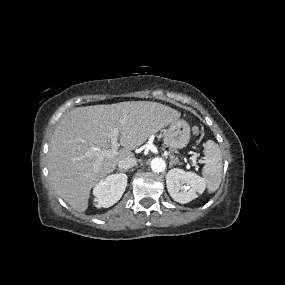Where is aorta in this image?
<instances>
[{
    "mask_svg": "<svg viewBox=\"0 0 285 285\" xmlns=\"http://www.w3.org/2000/svg\"><path fill=\"white\" fill-rule=\"evenodd\" d=\"M150 165L152 171L156 173L163 172L166 167L165 161L160 157L153 158Z\"/></svg>",
    "mask_w": 285,
    "mask_h": 285,
    "instance_id": "1",
    "label": "aorta"
}]
</instances>
